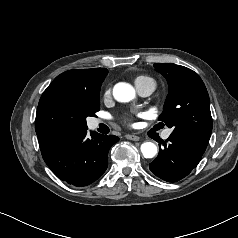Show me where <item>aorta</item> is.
Listing matches in <instances>:
<instances>
[{"label": "aorta", "mask_w": 238, "mask_h": 238, "mask_svg": "<svg viewBox=\"0 0 238 238\" xmlns=\"http://www.w3.org/2000/svg\"><path fill=\"white\" fill-rule=\"evenodd\" d=\"M113 96L119 102H129L134 99L135 90L128 83H118L113 88ZM141 152L144 158H153L157 154V146L152 142H145L141 145Z\"/></svg>", "instance_id": "762f6f07"}]
</instances>
